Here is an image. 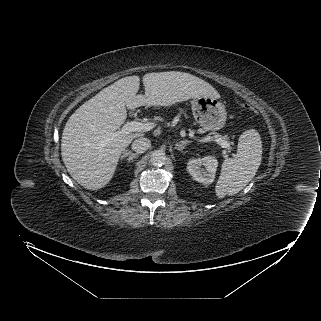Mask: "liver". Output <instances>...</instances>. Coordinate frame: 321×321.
Returning <instances> with one entry per match:
<instances>
[{
    "instance_id": "obj_1",
    "label": "liver",
    "mask_w": 321,
    "mask_h": 321,
    "mask_svg": "<svg viewBox=\"0 0 321 321\" xmlns=\"http://www.w3.org/2000/svg\"><path fill=\"white\" fill-rule=\"evenodd\" d=\"M145 95H137L139 76H128L101 90L68 119L61 155L67 171L81 186L98 190L112 179L122 151L140 133L118 134L126 107L170 106L202 96L220 98L206 81L188 73H148L142 78Z\"/></svg>"
}]
</instances>
